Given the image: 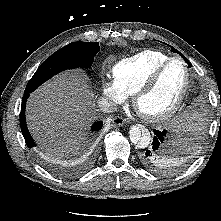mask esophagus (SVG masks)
I'll return each instance as SVG.
<instances>
[{
  "label": "esophagus",
  "instance_id": "34e87169",
  "mask_svg": "<svg viewBox=\"0 0 221 221\" xmlns=\"http://www.w3.org/2000/svg\"><path fill=\"white\" fill-rule=\"evenodd\" d=\"M112 123L114 126H121V125L127 123V120L122 117L117 116L112 119Z\"/></svg>",
  "mask_w": 221,
  "mask_h": 221
}]
</instances>
